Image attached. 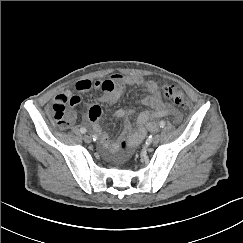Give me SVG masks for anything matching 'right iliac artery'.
Instances as JSON below:
<instances>
[{
	"label": "right iliac artery",
	"mask_w": 243,
	"mask_h": 243,
	"mask_svg": "<svg viewBox=\"0 0 243 243\" xmlns=\"http://www.w3.org/2000/svg\"><path fill=\"white\" fill-rule=\"evenodd\" d=\"M80 131H81V133H86V128L81 127V128H80Z\"/></svg>",
	"instance_id": "1"
}]
</instances>
